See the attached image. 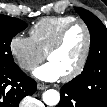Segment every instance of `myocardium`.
Masks as SVG:
<instances>
[{
	"label": "myocardium",
	"mask_w": 107,
	"mask_h": 107,
	"mask_svg": "<svg viewBox=\"0 0 107 107\" xmlns=\"http://www.w3.org/2000/svg\"><path fill=\"white\" fill-rule=\"evenodd\" d=\"M75 26H81L84 29L85 35H86V42H85V47H84V50H83V53H82V56L80 58L78 65L75 67V69L72 72L62 76V79L65 82L71 81L77 78L79 75H81L87 65V62L91 53V48H92V33L88 24L84 22L83 20H78V19H75L74 21L67 24L60 31L56 40L54 41V43L51 45V47L46 53V57L47 59H49V56L52 53H54L55 51L59 50L62 47L67 34Z\"/></svg>",
	"instance_id": "1"
}]
</instances>
